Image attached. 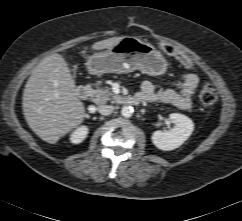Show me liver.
Wrapping results in <instances>:
<instances>
[{
	"instance_id": "6515ba94",
	"label": "liver",
	"mask_w": 242,
	"mask_h": 221,
	"mask_svg": "<svg viewBox=\"0 0 242 221\" xmlns=\"http://www.w3.org/2000/svg\"><path fill=\"white\" fill-rule=\"evenodd\" d=\"M121 37L95 42L92 50L112 47ZM64 58L54 53L32 70L23 92L24 117L32 131L47 143L57 141L83 122L84 104Z\"/></svg>"
}]
</instances>
